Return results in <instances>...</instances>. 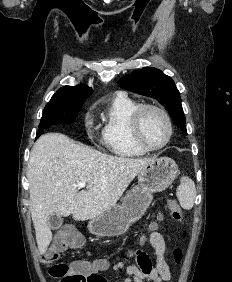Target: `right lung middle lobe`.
I'll return each mask as SVG.
<instances>
[{"label": "right lung middle lobe", "instance_id": "right-lung-middle-lobe-1", "mask_svg": "<svg viewBox=\"0 0 232 282\" xmlns=\"http://www.w3.org/2000/svg\"><path fill=\"white\" fill-rule=\"evenodd\" d=\"M86 98L50 100L45 106L36 139L43 130L54 124L72 123Z\"/></svg>", "mask_w": 232, "mask_h": 282}]
</instances>
